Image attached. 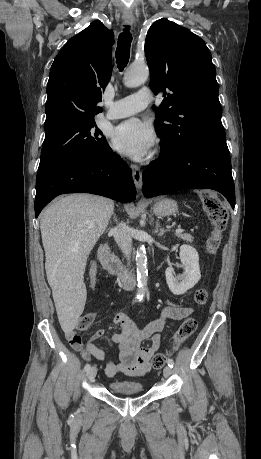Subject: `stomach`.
Masks as SVG:
<instances>
[{
  "label": "stomach",
  "instance_id": "0dacf381",
  "mask_svg": "<svg viewBox=\"0 0 261 459\" xmlns=\"http://www.w3.org/2000/svg\"><path fill=\"white\" fill-rule=\"evenodd\" d=\"M153 211L161 217L173 215L178 211L177 202L169 198L157 200L153 205Z\"/></svg>",
  "mask_w": 261,
  "mask_h": 459
}]
</instances>
